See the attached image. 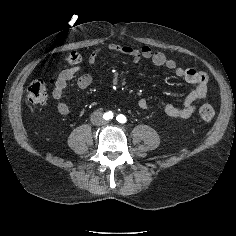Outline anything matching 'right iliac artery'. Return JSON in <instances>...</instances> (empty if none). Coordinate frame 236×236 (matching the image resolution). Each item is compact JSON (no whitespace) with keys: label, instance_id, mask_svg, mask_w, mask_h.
<instances>
[{"label":"right iliac artery","instance_id":"82829eb1","mask_svg":"<svg viewBox=\"0 0 236 236\" xmlns=\"http://www.w3.org/2000/svg\"><path fill=\"white\" fill-rule=\"evenodd\" d=\"M104 118L105 119H111L113 118V112L109 111L107 113L104 114Z\"/></svg>","mask_w":236,"mask_h":236}]
</instances>
